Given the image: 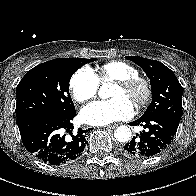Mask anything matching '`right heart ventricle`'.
<instances>
[{"label":"right heart ventricle","mask_w":196,"mask_h":196,"mask_svg":"<svg viewBox=\"0 0 196 196\" xmlns=\"http://www.w3.org/2000/svg\"><path fill=\"white\" fill-rule=\"evenodd\" d=\"M138 69L125 61H110L99 68L100 81H116L138 75Z\"/></svg>","instance_id":"right-heart-ventricle-1"}]
</instances>
